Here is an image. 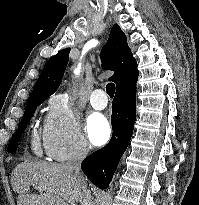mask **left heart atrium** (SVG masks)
I'll use <instances>...</instances> for the list:
<instances>
[{
  "mask_svg": "<svg viewBox=\"0 0 199 205\" xmlns=\"http://www.w3.org/2000/svg\"><path fill=\"white\" fill-rule=\"evenodd\" d=\"M86 131L90 142L94 145L104 144L111 133L109 122L98 113L89 116L86 122Z\"/></svg>",
  "mask_w": 199,
  "mask_h": 205,
  "instance_id": "39dd6f15",
  "label": "left heart atrium"
}]
</instances>
